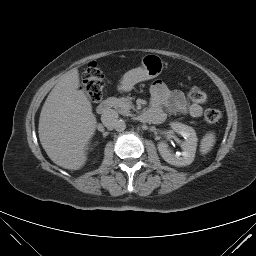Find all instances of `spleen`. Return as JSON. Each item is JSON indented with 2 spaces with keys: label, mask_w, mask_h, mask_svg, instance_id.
I'll use <instances>...</instances> for the list:
<instances>
[{
  "label": "spleen",
  "mask_w": 256,
  "mask_h": 256,
  "mask_svg": "<svg viewBox=\"0 0 256 256\" xmlns=\"http://www.w3.org/2000/svg\"><path fill=\"white\" fill-rule=\"evenodd\" d=\"M215 133L214 132H207L205 134V136H203V138L201 139L200 142V152L201 154L205 155L208 152L211 151V149L213 148L215 142H216V138H215Z\"/></svg>",
  "instance_id": "1"
}]
</instances>
